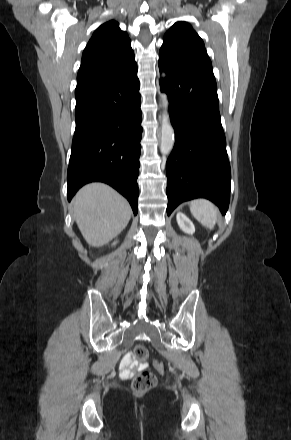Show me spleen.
I'll return each instance as SVG.
<instances>
[{
	"mask_svg": "<svg viewBox=\"0 0 291 440\" xmlns=\"http://www.w3.org/2000/svg\"><path fill=\"white\" fill-rule=\"evenodd\" d=\"M192 215L206 228L213 229L218 216L217 207L206 199H196L190 203Z\"/></svg>",
	"mask_w": 291,
	"mask_h": 440,
	"instance_id": "3e777b00",
	"label": "spleen"
}]
</instances>
